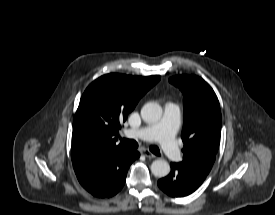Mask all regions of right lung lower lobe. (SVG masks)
Masks as SVG:
<instances>
[{
    "label": "right lung lower lobe",
    "instance_id": "98d812e1",
    "mask_svg": "<svg viewBox=\"0 0 275 215\" xmlns=\"http://www.w3.org/2000/svg\"><path fill=\"white\" fill-rule=\"evenodd\" d=\"M139 155L127 148L100 152L74 170L80 184L92 195L111 197L124 186L127 171Z\"/></svg>",
    "mask_w": 275,
    "mask_h": 215
}]
</instances>
